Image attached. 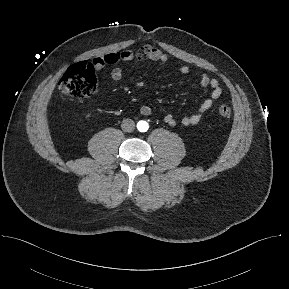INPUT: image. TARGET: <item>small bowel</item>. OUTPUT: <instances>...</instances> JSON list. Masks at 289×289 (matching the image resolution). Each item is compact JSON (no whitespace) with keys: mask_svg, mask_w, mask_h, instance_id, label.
<instances>
[{"mask_svg":"<svg viewBox=\"0 0 289 289\" xmlns=\"http://www.w3.org/2000/svg\"><path fill=\"white\" fill-rule=\"evenodd\" d=\"M132 60H151L166 62L168 60V56L157 47L147 44L135 51L123 50L107 53L105 55L94 58L92 64L94 65L95 70L99 71L107 65H115L119 62ZM179 71L183 75H188L190 73V69L187 66H181ZM111 77L114 81H120L123 77V70L120 67H115L111 71ZM197 78L199 86L202 89H208L210 91V95L200 104L195 113L191 115H186L181 119V123L184 126L198 125L204 113L212 107L214 101L220 98L223 93V90L218 80L211 78L207 74L202 72L197 74ZM136 87L138 89L142 88L143 83H137ZM152 112L153 110L149 105H143L140 107V113L144 116H149L152 114ZM164 121L170 126H175L177 123L175 117L171 114L165 115Z\"/></svg>","mask_w":289,"mask_h":289,"instance_id":"obj_1","label":"small bowel"}]
</instances>
